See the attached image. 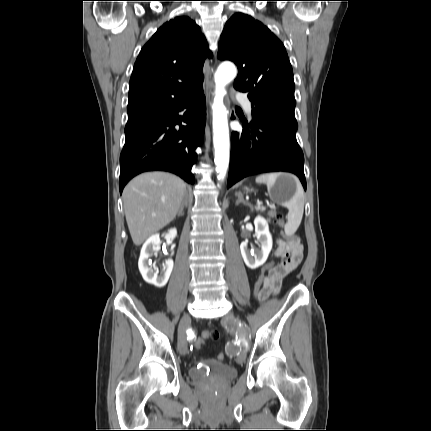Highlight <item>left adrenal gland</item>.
Returning <instances> with one entry per match:
<instances>
[{"label": "left adrenal gland", "mask_w": 431, "mask_h": 431, "mask_svg": "<svg viewBox=\"0 0 431 431\" xmlns=\"http://www.w3.org/2000/svg\"><path fill=\"white\" fill-rule=\"evenodd\" d=\"M240 203H243V204H246V205H248L250 208H251V210H252V206H251V204L249 203V202H247V201H245L244 200V198H243V196H242V194H241V192H239L238 193V199L236 200V205H238V204H240Z\"/></svg>", "instance_id": "1"}]
</instances>
